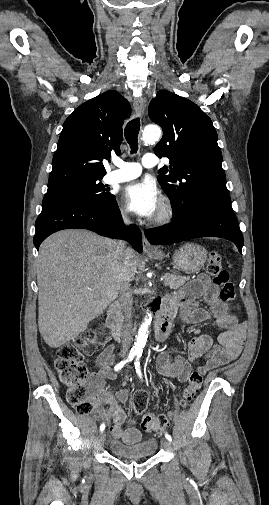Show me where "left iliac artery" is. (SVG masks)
<instances>
[{"instance_id": "1", "label": "left iliac artery", "mask_w": 269, "mask_h": 505, "mask_svg": "<svg viewBox=\"0 0 269 505\" xmlns=\"http://www.w3.org/2000/svg\"><path fill=\"white\" fill-rule=\"evenodd\" d=\"M140 357H141V353L140 354H137V358L135 360V369H136V372H137V375L140 379H142V373H141V368H140ZM165 437L168 441H172V437L171 435H169L168 433H165Z\"/></svg>"}]
</instances>
